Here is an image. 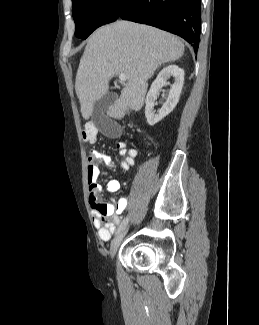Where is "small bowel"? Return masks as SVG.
Segmentation results:
<instances>
[{
  "mask_svg": "<svg viewBox=\"0 0 259 325\" xmlns=\"http://www.w3.org/2000/svg\"><path fill=\"white\" fill-rule=\"evenodd\" d=\"M137 156L136 147H132L127 155L120 161L119 166L122 170H128L133 166ZM117 167V163L101 152L92 151L88 157L87 180L89 188V201L93 208V223L97 229L100 240L107 242L115 232L116 227L121 221V214L127 206V198L120 197L115 202L106 203L99 200V194L102 190L98 182L100 167ZM106 189L109 192H117L120 189V182L117 179H110L107 182Z\"/></svg>",
  "mask_w": 259,
  "mask_h": 325,
  "instance_id": "obj_1",
  "label": "small bowel"
}]
</instances>
